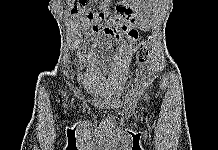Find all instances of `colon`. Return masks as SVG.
<instances>
[{
  "label": "colon",
  "instance_id": "5ec220e1",
  "mask_svg": "<svg viewBox=\"0 0 218 150\" xmlns=\"http://www.w3.org/2000/svg\"><path fill=\"white\" fill-rule=\"evenodd\" d=\"M86 0H72L71 9L72 11L76 10L80 5L84 4ZM133 39L137 38V33L134 32L130 35ZM137 56L141 62L146 61L148 56V48L144 44H139L137 47Z\"/></svg>",
  "mask_w": 218,
  "mask_h": 150
}]
</instances>
